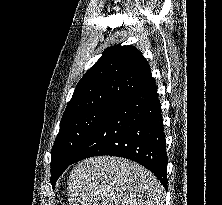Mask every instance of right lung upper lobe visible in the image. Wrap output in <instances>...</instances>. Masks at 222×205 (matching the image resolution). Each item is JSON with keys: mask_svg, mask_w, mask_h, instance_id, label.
Here are the masks:
<instances>
[{"mask_svg": "<svg viewBox=\"0 0 222 205\" xmlns=\"http://www.w3.org/2000/svg\"><path fill=\"white\" fill-rule=\"evenodd\" d=\"M152 81L150 66L135 47H109L79 81L62 119L95 107L116 105Z\"/></svg>", "mask_w": 222, "mask_h": 205, "instance_id": "cb5924a9", "label": "right lung upper lobe"}]
</instances>
